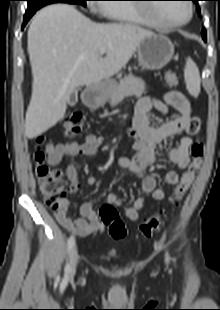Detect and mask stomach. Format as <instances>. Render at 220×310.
<instances>
[{
	"mask_svg": "<svg viewBox=\"0 0 220 310\" xmlns=\"http://www.w3.org/2000/svg\"><path fill=\"white\" fill-rule=\"evenodd\" d=\"M174 54V45L164 35L146 37L137 47L136 55L143 69L159 70L169 63ZM114 87L113 81H106L98 87L90 88L85 103L89 106H100L108 98Z\"/></svg>",
	"mask_w": 220,
	"mask_h": 310,
	"instance_id": "stomach-1",
	"label": "stomach"
}]
</instances>
